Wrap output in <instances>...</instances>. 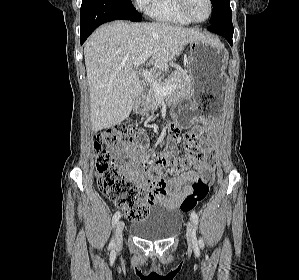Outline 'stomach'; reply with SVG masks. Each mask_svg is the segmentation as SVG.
I'll return each mask as SVG.
<instances>
[{
  "label": "stomach",
  "mask_w": 299,
  "mask_h": 280,
  "mask_svg": "<svg viewBox=\"0 0 299 280\" xmlns=\"http://www.w3.org/2000/svg\"><path fill=\"white\" fill-rule=\"evenodd\" d=\"M188 77L191 83L189 95L180 100V112L184 119L180 124L190 125L202 116H219L223 112L226 99L225 69L229 54L224 45L207 39L188 43ZM146 114L147 110L140 111Z\"/></svg>",
  "instance_id": "stomach-1"
}]
</instances>
